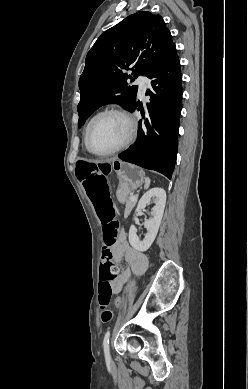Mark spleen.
<instances>
[{"instance_id":"1","label":"spleen","mask_w":248,"mask_h":389,"mask_svg":"<svg viewBox=\"0 0 248 389\" xmlns=\"http://www.w3.org/2000/svg\"><path fill=\"white\" fill-rule=\"evenodd\" d=\"M150 185V179L148 177L145 178V185H144V188H148Z\"/></svg>"}]
</instances>
